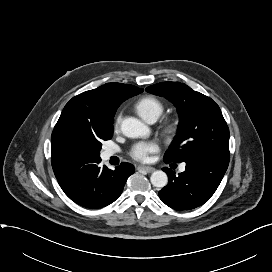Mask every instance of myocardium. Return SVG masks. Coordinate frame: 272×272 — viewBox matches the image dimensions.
<instances>
[{"instance_id": "f54148a6", "label": "myocardium", "mask_w": 272, "mask_h": 272, "mask_svg": "<svg viewBox=\"0 0 272 272\" xmlns=\"http://www.w3.org/2000/svg\"><path fill=\"white\" fill-rule=\"evenodd\" d=\"M165 129H166V131H172V129H173V125H172V123H166V125H165Z\"/></svg>"}]
</instances>
